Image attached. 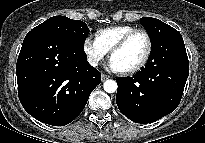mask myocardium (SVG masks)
<instances>
[{"mask_svg":"<svg viewBox=\"0 0 205 143\" xmlns=\"http://www.w3.org/2000/svg\"><path fill=\"white\" fill-rule=\"evenodd\" d=\"M138 33L143 34L146 38V41H147L146 52L142 60L137 65L123 71L126 74H133V73L140 71L149 61V58L152 53V39H151L150 34L148 33L147 30L142 29V28L133 29L132 31L125 34L110 50V58L112 59L113 55L117 53L118 51L122 50L126 46V44L129 42V40L135 34H138Z\"/></svg>","mask_w":205,"mask_h":143,"instance_id":"myocardium-1","label":"myocardium"}]
</instances>
